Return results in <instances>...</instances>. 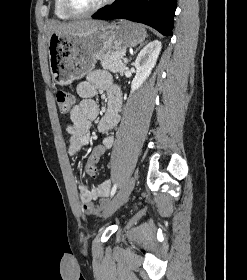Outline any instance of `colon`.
<instances>
[{
  "instance_id": "1",
  "label": "colon",
  "mask_w": 247,
  "mask_h": 280,
  "mask_svg": "<svg viewBox=\"0 0 247 280\" xmlns=\"http://www.w3.org/2000/svg\"><path fill=\"white\" fill-rule=\"evenodd\" d=\"M56 101L59 111L63 114H67L71 111L74 104V96L67 91H59L56 94ZM106 154L105 145L103 143H97L94 145L92 152L88 158V164L86 166V172L89 176L95 175L94 166L100 160L101 156Z\"/></svg>"
}]
</instances>
